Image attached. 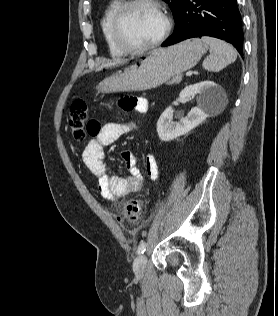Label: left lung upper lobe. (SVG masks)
Segmentation results:
<instances>
[{
    "instance_id": "obj_1",
    "label": "left lung upper lobe",
    "mask_w": 278,
    "mask_h": 316,
    "mask_svg": "<svg viewBox=\"0 0 278 316\" xmlns=\"http://www.w3.org/2000/svg\"><path fill=\"white\" fill-rule=\"evenodd\" d=\"M171 8V11L173 13L174 20L176 21L179 14L180 9L182 7V3L184 0H164Z\"/></svg>"
}]
</instances>
